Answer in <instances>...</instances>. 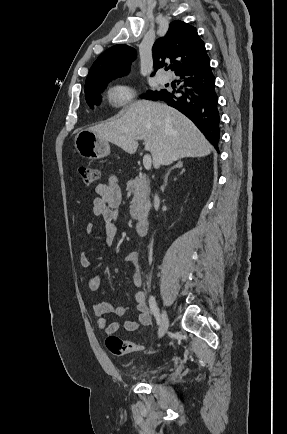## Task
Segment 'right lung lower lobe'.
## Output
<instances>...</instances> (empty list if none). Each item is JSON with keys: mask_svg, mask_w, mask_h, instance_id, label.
I'll return each mask as SVG.
<instances>
[{"mask_svg": "<svg viewBox=\"0 0 287 434\" xmlns=\"http://www.w3.org/2000/svg\"><path fill=\"white\" fill-rule=\"evenodd\" d=\"M182 86L176 91H154L146 98L165 101L191 119L218 150L220 138L218 96L215 77L206 50L192 63L176 73Z\"/></svg>", "mask_w": 287, "mask_h": 434, "instance_id": "obj_1", "label": "right lung lower lobe"}]
</instances>
